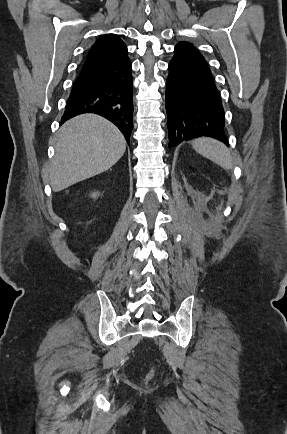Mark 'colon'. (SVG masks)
<instances>
[{"label":"colon","mask_w":287,"mask_h":434,"mask_svg":"<svg viewBox=\"0 0 287 434\" xmlns=\"http://www.w3.org/2000/svg\"><path fill=\"white\" fill-rule=\"evenodd\" d=\"M153 376V371L149 372V374L147 375V379H150Z\"/></svg>","instance_id":"1"}]
</instances>
